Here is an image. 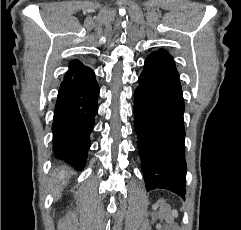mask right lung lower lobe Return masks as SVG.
I'll return each mask as SVG.
<instances>
[{
  "instance_id": "1",
  "label": "right lung lower lobe",
  "mask_w": 241,
  "mask_h": 230,
  "mask_svg": "<svg viewBox=\"0 0 241 230\" xmlns=\"http://www.w3.org/2000/svg\"><path fill=\"white\" fill-rule=\"evenodd\" d=\"M99 86L93 70L72 61L60 85L52 125L55 156L82 170L98 111Z\"/></svg>"
}]
</instances>
